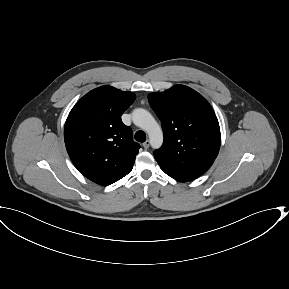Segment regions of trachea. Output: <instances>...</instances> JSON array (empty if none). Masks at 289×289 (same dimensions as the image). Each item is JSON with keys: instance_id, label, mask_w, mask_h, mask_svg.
<instances>
[{"instance_id": "trachea-1", "label": "trachea", "mask_w": 289, "mask_h": 289, "mask_svg": "<svg viewBox=\"0 0 289 289\" xmlns=\"http://www.w3.org/2000/svg\"><path fill=\"white\" fill-rule=\"evenodd\" d=\"M135 140L138 141V142H145L146 141V134L144 131H137L135 133Z\"/></svg>"}]
</instances>
